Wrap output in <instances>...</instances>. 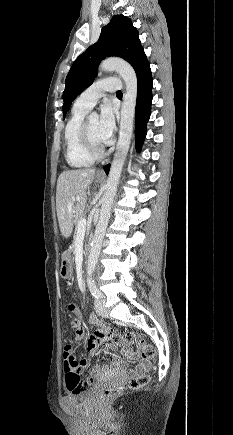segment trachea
<instances>
[{
    "label": "trachea",
    "mask_w": 233,
    "mask_h": 435,
    "mask_svg": "<svg viewBox=\"0 0 233 435\" xmlns=\"http://www.w3.org/2000/svg\"><path fill=\"white\" fill-rule=\"evenodd\" d=\"M117 94H122V92H121V91H118Z\"/></svg>",
    "instance_id": "3493384b"
}]
</instances>
